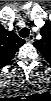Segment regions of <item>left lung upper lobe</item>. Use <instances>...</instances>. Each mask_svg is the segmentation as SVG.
Masks as SVG:
<instances>
[{"label": "left lung upper lobe", "mask_w": 51, "mask_h": 101, "mask_svg": "<svg viewBox=\"0 0 51 101\" xmlns=\"http://www.w3.org/2000/svg\"><path fill=\"white\" fill-rule=\"evenodd\" d=\"M40 34L42 38L34 42V47L41 52L47 62L51 63V22L45 23Z\"/></svg>", "instance_id": "5c2ea615"}]
</instances>
